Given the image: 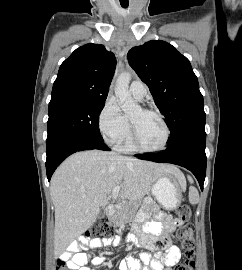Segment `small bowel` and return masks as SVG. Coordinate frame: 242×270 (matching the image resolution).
Listing matches in <instances>:
<instances>
[{
    "instance_id": "obj_1",
    "label": "small bowel",
    "mask_w": 242,
    "mask_h": 270,
    "mask_svg": "<svg viewBox=\"0 0 242 270\" xmlns=\"http://www.w3.org/2000/svg\"><path fill=\"white\" fill-rule=\"evenodd\" d=\"M180 224L181 222L166 213H157L155 219L149 220L146 211L140 212L136 217L134 230L129 235V239L137 246L156 251V257L152 259L150 254L146 252L141 253L139 258L127 256L120 263L119 269L172 270L171 267L181 259L180 249L171 242L173 231ZM119 243L120 241L117 239H82L80 244H71L68 250L61 254L60 260L69 270H92L88 264L100 265L105 258L103 255L91 258L82 249L87 247L96 249ZM142 263L147 265L148 269L143 268Z\"/></svg>"
}]
</instances>
